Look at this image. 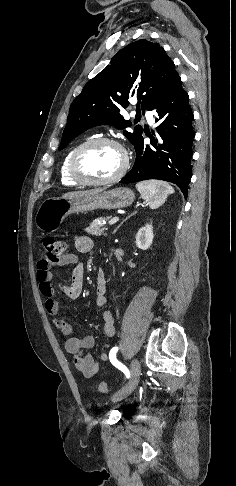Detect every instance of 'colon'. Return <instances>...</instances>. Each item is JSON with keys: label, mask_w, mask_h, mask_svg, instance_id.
Listing matches in <instances>:
<instances>
[{"label": "colon", "mask_w": 236, "mask_h": 486, "mask_svg": "<svg viewBox=\"0 0 236 486\" xmlns=\"http://www.w3.org/2000/svg\"><path fill=\"white\" fill-rule=\"evenodd\" d=\"M43 248L46 253V258L50 262L56 263L66 254L67 243L54 236H47L43 240ZM98 390L104 394L110 392V389L105 382L98 383Z\"/></svg>", "instance_id": "5ec220e1"}]
</instances>
